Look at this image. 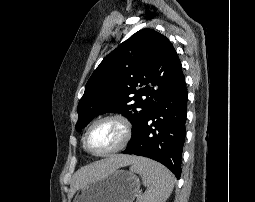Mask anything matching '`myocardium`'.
<instances>
[{"label": "myocardium", "instance_id": "obj_1", "mask_svg": "<svg viewBox=\"0 0 255 202\" xmlns=\"http://www.w3.org/2000/svg\"><path fill=\"white\" fill-rule=\"evenodd\" d=\"M104 122H115V123L119 124L122 129V139H121L120 143L115 148H113L107 152H102V153L94 152L89 147V144H88L89 135H90L91 131L96 126H98L99 124L104 123ZM132 134H133V127H132V124L128 118H126L125 116H123L121 114L106 115L104 117L99 118L98 120H96L95 122H93L90 125V127L88 128V130L86 131L85 136H84V147L90 154H92L94 156H98V157L110 156L112 154H115V153L123 150L130 142V140L132 138Z\"/></svg>", "mask_w": 255, "mask_h": 202}]
</instances>
